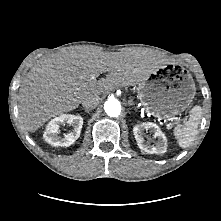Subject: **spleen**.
Returning a JSON list of instances; mask_svg holds the SVG:
<instances>
[{"instance_id": "spleen-1", "label": "spleen", "mask_w": 221, "mask_h": 221, "mask_svg": "<svg viewBox=\"0 0 221 221\" xmlns=\"http://www.w3.org/2000/svg\"><path fill=\"white\" fill-rule=\"evenodd\" d=\"M201 118V107L196 105L190 112L188 121L174 128L173 134L181 148H187L195 140Z\"/></svg>"}]
</instances>
